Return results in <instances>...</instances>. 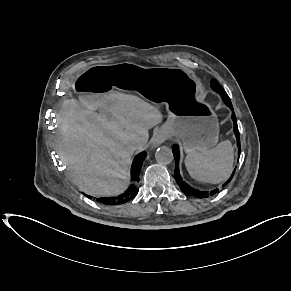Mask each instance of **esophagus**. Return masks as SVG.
Returning <instances> with one entry per match:
<instances>
[{"label": "esophagus", "mask_w": 291, "mask_h": 291, "mask_svg": "<svg viewBox=\"0 0 291 291\" xmlns=\"http://www.w3.org/2000/svg\"><path fill=\"white\" fill-rule=\"evenodd\" d=\"M166 137L164 135L159 136L158 138H156L152 144L153 147H157L159 146L161 143H163L165 141Z\"/></svg>", "instance_id": "obj_1"}]
</instances>
